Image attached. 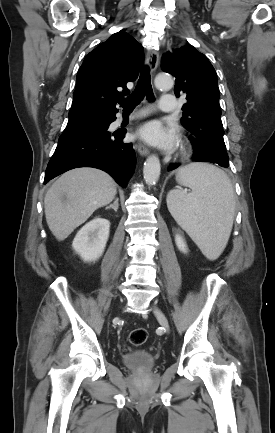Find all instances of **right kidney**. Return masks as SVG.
<instances>
[{
  "label": "right kidney",
  "instance_id": "obj_1",
  "mask_svg": "<svg viewBox=\"0 0 275 433\" xmlns=\"http://www.w3.org/2000/svg\"><path fill=\"white\" fill-rule=\"evenodd\" d=\"M110 230L107 219L96 217L86 223L76 234L72 247L86 262L99 259L105 249Z\"/></svg>",
  "mask_w": 275,
  "mask_h": 433
}]
</instances>
